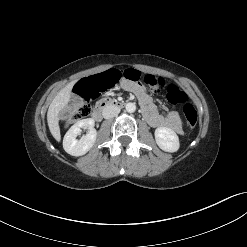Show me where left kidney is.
<instances>
[{
    "mask_svg": "<svg viewBox=\"0 0 247 247\" xmlns=\"http://www.w3.org/2000/svg\"><path fill=\"white\" fill-rule=\"evenodd\" d=\"M154 134L157 145L163 151L176 152L179 149V138L172 129L168 127H158Z\"/></svg>",
    "mask_w": 247,
    "mask_h": 247,
    "instance_id": "5707ae66",
    "label": "left kidney"
}]
</instances>
